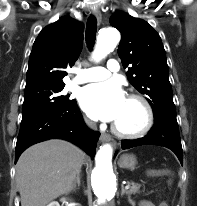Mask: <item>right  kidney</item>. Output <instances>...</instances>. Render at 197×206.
I'll list each match as a JSON object with an SVG mask.
<instances>
[{
  "mask_svg": "<svg viewBox=\"0 0 197 206\" xmlns=\"http://www.w3.org/2000/svg\"><path fill=\"white\" fill-rule=\"evenodd\" d=\"M61 201H62V202H65L66 199H65V198H62ZM47 206H60V204H59L57 201H53V202H51L50 204H48Z\"/></svg>",
  "mask_w": 197,
  "mask_h": 206,
  "instance_id": "obj_1",
  "label": "right kidney"
}]
</instances>
